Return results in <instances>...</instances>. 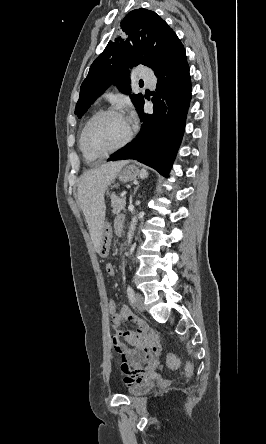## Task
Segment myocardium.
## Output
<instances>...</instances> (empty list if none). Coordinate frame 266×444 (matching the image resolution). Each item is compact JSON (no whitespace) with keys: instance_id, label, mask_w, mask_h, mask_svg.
<instances>
[{"instance_id":"f54148a6","label":"myocardium","mask_w":266,"mask_h":444,"mask_svg":"<svg viewBox=\"0 0 266 444\" xmlns=\"http://www.w3.org/2000/svg\"><path fill=\"white\" fill-rule=\"evenodd\" d=\"M106 115H117V116L124 117V115H123V113H122L121 111H119V110H117V109H112V108H110V109H104V110H100V111H98L97 113H95V114H94V115H93V116L87 121V123L85 124V126H84V128H83V130H82V132H81V135H80V146H81V149L83 150V152L86 153V154H88V155H90V156L103 157V156H107V155H109V154H112V153H114V152H117V151L123 149L124 147H126V146L130 143V141L132 140V138H133V134H134V132H133V128H132V126L129 124V130H128V133H127L126 137L124 138V140H123L118 146H116V147H114V148H112V149H109V150H107V151L100 152V153H97V152H94V151L90 150V149L87 147V145H86V141H85V139H86V134H87V132H88L90 126H91L96 120H98L99 118H101V117H103V116H106ZM124 118H125V117H124ZM125 119H126V118H125Z\"/></svg>"}]
</instances>
